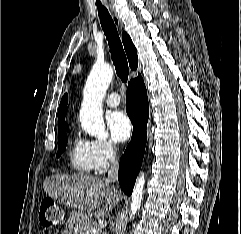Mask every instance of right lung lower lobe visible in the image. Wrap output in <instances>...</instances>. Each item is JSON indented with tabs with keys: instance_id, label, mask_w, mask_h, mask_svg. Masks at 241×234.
<instances>
[{
	"instance_id": "obj_1",
	"label": "right lung lower lobe",
	"mask_w": 241,
	"mask_h": 234,
	"mask_svg": "<svg viewBox=\"0 0 241 234\" xmlns=\"http://www.w3.org/2000/svg\"><path fill=\"white\" fill-rule=\"evenodd\" d=\"M126 112L133 124V135L120 159L118 180L121 189L131 195L144 156L149 117L147 91L140 75L128 83Z\"/></svg>"
}]
</instances>
